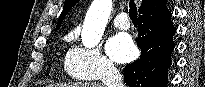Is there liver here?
Returning <instances> with one entry per match:
<instances>
[{
	"label": "liver",
	"mask_w": 205,
	"mask_h": 87,
	"mask_svg": "<svg viewBox=\"0 0 205 87\" xmlns=\"http://www.w3.org/2000/svg\"><path fill=\"white\" fill-rule=\"evenodd\" d=\"M52 87H104L103 84H96V83H64V84H56Z\"/></svg>",
	"instance_id": "obj_1"
}]
</instances>
